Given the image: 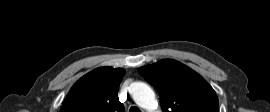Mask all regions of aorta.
I'll return each instance as SVG.
<instances>
[{"label":"aorta","mask_w":270,"mask_h":112,"mask_svg":"<svg viewBox=\"0 0 270 112\" xmlns=\"http://www.w3.org/2000/svg\"><path fill=\"white\" fill-rule=\"evenodd\" d=\"M132 98L137 105L148 111H152L156 103L155 93L146 83L136 82L132 85Z\"/></svg>","instance_id":"obj_1"}]
</instances>
